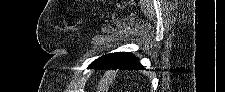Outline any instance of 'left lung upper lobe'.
Segmentation results:
<instances>
[{
	"mask_svg": "<svg viewBox=\"0 0 225 92\" xmlns=\"http://www.w3.org/2000/svg\"><path fill=\"white\" fill-rule=\"evenodd\" d=\"M112 53L110 54H106L104 56L99 57L98 59H96L95 61H93L88 68L91 69H95L96 67H98L102 62H104L109 56H111Z\"/></svg>",
	"mask_w": 225,
	"mask_h": 92,
	"instance_id": "5c2ea615",
	"label": "left lung upper lobe"
}]
</instances>
